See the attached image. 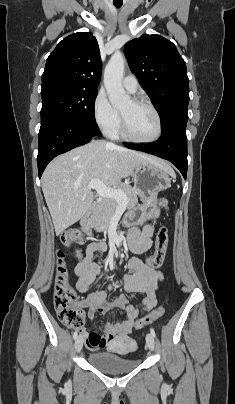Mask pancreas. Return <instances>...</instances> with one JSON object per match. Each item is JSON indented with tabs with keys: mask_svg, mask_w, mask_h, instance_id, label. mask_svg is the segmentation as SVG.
Here are the masks:
<instances>
[{
	"mask_svg": "<svg viewBox=\"0 0 235 404\" xmlns=\"http://www.w3.org/2000/svg\"><path fill=\"white\" fill-rule=\"evenodd\" d=\"M121 190L127 197L126 206L131 208L137 205L138 197L137 190L129 184H120L117 188ZM119 206V202L114 198H105L97 207L92 216L91 226L98 232L106 231L112 217L115 214L116 209Z\"/></svg>",
	"mask_w": 235,
	"mask_h": 404,
	"instance_id": "1",
	"label": "pancreas"
}]
</instances>
